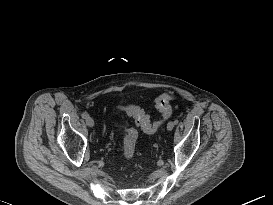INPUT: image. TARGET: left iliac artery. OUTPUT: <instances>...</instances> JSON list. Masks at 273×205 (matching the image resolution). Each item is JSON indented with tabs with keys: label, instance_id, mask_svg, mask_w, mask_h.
<instances>
[{
	"label": "left iliac artery",
	"instance_id": "left-iliac-artery-1",
	"mask_svg": "<svg viewBox=\"0 0 273 205\" xmlns=\"http://www.w3.org/2000/svg\"><path fill=\"white\" fill-rule=\"evenodd\" d=\"M174 123H175V125L178 124V120H175Z\"/></svg>",
	"mask_w": 273,
	"mask_h": 205
}]
</instances>
